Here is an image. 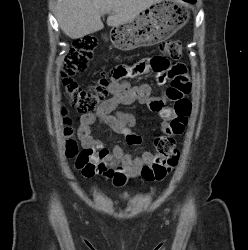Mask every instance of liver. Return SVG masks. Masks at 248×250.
Listing matches in <instances>:
<instances>
[{
  "instance_id": "obj_1",
  "label": "liver",
  "mask_w": 248,
  "mask_h": 250,
  "mask_svg": "<svg viewBox=\"0 0 248 250\" xmlns=\"http://www.w3.org/2000/svg\"><path fill=\"white\" fill-rule=\"evenodd\" d=\"M162 0H58L56 16L64 34L81 38L104 28L101 15L109 13L107 25L117 27L135 19Z\"/></svg>"
}]
</instances>
